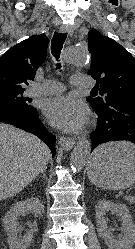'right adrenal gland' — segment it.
I'll list each match as a JSON object with an SVG mask.
<instances>
[{
	"instance_id": "right-adrenal-gland-1",
	"label": "right adrenal gland",
	"mask_w": 135,
	"mask_h": 249,
	"mask_svg": "<svg viewBox=\"0 0 135 249\" xmlns=\"http://www.w3.org/2000/svg\"><path fill=\"white\" fill-rule=\"evenodd\" d=\"M42 176H43V178H44V179H46V180H47V176H46V174H45V170H44V171H42Z\"/></svg>"
}]
</instances>
